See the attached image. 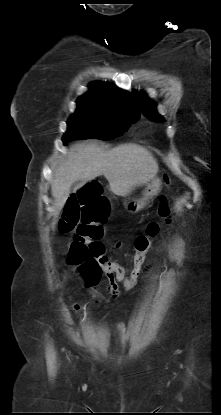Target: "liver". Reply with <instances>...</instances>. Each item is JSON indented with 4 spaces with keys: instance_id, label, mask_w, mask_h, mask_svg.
Here are the masks:
<instances>
[{
    "instance_id": "1",
    "label": "liver",
    "mask_w": 221,
    "mask_h": 415,
    "mask_svg": "<svg viewBox=\"0 0 221 415\" xmlns=\"http://www.w3.org/2000/svg\"><path fill=\"white\" fill-rule=\"evenodd\" d=\"M158 169L153 155L136 144H123L107 151L96 143L77 144L70 148L68 158L55 170L51 193L59 211L65 205L74 182H86L103 175L110 190L125 197L153 179Z\"/></svg>"
}]
</instances>
